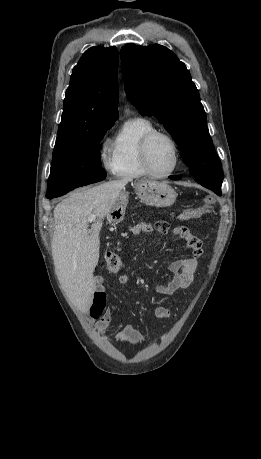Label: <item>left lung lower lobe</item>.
Instances as JSON below:
<instances>
[{
    "label": "left lung lower lobe",
    "mask_w": 261,
    "mask_h": 459,
    "mask_svg": "<svg viewBox=\"0 0 261 459\" xmlns=\"http://www.w3.org/2000/svg\"><path fill=\"white\" fill-rule=\"evenodd\" d=\"M172 180H178L180 179L179 176L176 177H170ZM196 182L200 183L202 186L212 190L215 192L217 195L221 196V185H222V180L218 179H210V178H205V179H196Z\"/></svg>",
    "instance_id": "0a47b994"
}]
</instances>
